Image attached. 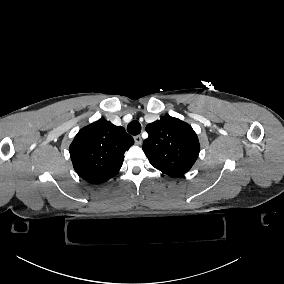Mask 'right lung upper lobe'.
<instances>
[{"instance_id": "right-lung-upper-lobe-1", "label": "right lung upper lobe", "mask_w": 284, "mask_h": 284, "mask_svg": "<svg viewBox=\"0 0 284 284\" xmlns=\"http://www.w3.org/2000/svg\"><path fill=\"white\" fill-rule=\"evenodd\" d=\"M133 144L123 127L102 118L77 133L69 148L70 157L81 178L103 183L119 172L124 153Z\"/></svg>"}]
</instances>
